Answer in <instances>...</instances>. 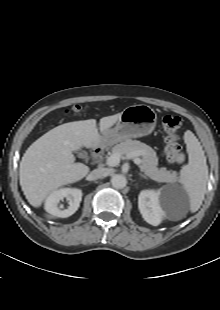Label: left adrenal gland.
I'll return each mask as SVG.
<instances>
[{"label": "left adrenal gland", "mask_w": 220, "mask_h": 310, "mask_svg": "<svg viewBox=\"0 0 220 310\" xmlns=\"http://www.w3.org/2000/svg\"><path fill=\"white\" fill-rule=\"evenodd\" d=\"M140 177L144 178V179H147V177L145 175H143V174H140Z\"/></svg>", "instance_id": "a2214340"}]
</instances>
